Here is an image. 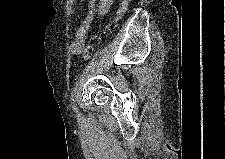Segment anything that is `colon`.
Returning <instances> with one entry per match:
<instances>
[{
  "label": "colon",
  "mask_w": 225,
  "mask_h": 159,
  "mask_svg": "<svg viewBox=\"0 0 225 159\" xmlns=\"http://www.w3.org/2000/svg\"><path fill=\"white\" fill-rule=\"evenodd\" d=\"M129 4H130V0H122L121 3H120V6L117 10V13L114 17V19L111 21V23L106 27V30L105 31H109L111 30L115 24L117 22H119L123 16L125 15L128 7H129ZM92 51H93V43L89 44L85 50H84V53H83V58L84 60H89L90 57H91V54H92Z\"/></svg>",
  "instance_id": "1"
}]
</instances>
